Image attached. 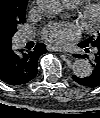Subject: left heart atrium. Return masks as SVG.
Segmentation results:
<instances>
[{
  "mask_svg": "<svg viewBox=\"0 0 100 118\" xmlns=\"http://www.w3.org/2000/svg\"><path fill=\"white\" fill-rule=\"evenodd\" d=\"M80 34L79 29L71 23L60 22L46 25L42 31V37L56 47H61L76 39Z\"/></svg>",
  "mask_w": 100,
  "mask_h": 118,
  "instance_id": "39dd6f15",
  "label": "left heart atrium"
}]
</instances>
